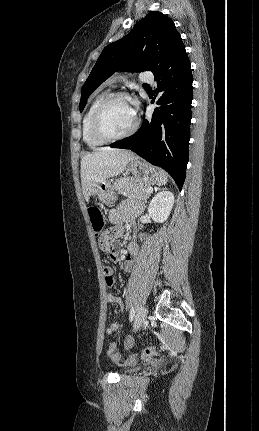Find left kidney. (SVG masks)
Here are the masks:
<instances>
[{
  "mask_svg": "<svg viewBox=\"0 0 259 431\" xmlns=\"http://www.w3.org/2000/svg\"><path fill=\"white\" fill-rule=\"evenodd\" d=\"M174 195L170 191H161L157 193L148 206V213L155 222H164L173 207Z\"/></svg>",
  "mask_w": 259,
  "mask_h": 431,
  "instance_id": "left-kidney-1",
  "label": "left kidney"
}]
</instances>
